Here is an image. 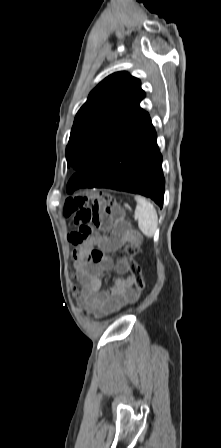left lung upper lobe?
Listing matches in <instances>:
<instances>
[{
	"instance_id": "5c2ea615",
	"label": "left lung upper lobe",
	"mask_w": 221,
	"mask_h": 448,
	"mask_svg": "<svg viewBox=\"0 0 221 448\" xmlns=\"http://www.w3.org/2000/svg\"><path fill=\"white\" fill-rule=\"evenodd\" d=\"M145 97L140 81L127 72L105 78L78 111L66 147L68 167L98 166L149 119L139 107Z\"/></svg>"
}]
</instances>
